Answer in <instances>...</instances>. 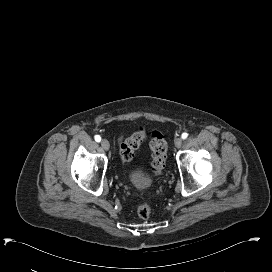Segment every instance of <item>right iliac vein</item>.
I'll return each instance as SVG.
<instances>
[{"instance_id":"right-iliac-vein-1","label":"right iliac vein","mask_w":272,"mask_h":272,"mask_svg":"<svg viewBox=\"0 0 272 272\" xmlns=\"http://www.w3.org/2000/svg\"><path fill=\"white\" fill-rule=\"evenodd\" d=\"M101 147L104 149V150H109V148H110V144H109V142H108V140H106V139H103L102 141H101Z\"/></svg>"}]
</instances>
